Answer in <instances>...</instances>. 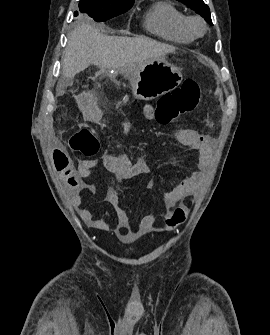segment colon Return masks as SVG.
Wrapping results in <instances>:
<instances>
[{"label":"colon","mask_w":270,"mask_h":335,"mask_svg":"<svg viewBox=\"0 0 270 335\" xmlns=\"http://www.w3.org/2000/svg\"><path fill=\"white\" fill-rule=\"evenodd\" d=\"M200 97L199 86L187 80L175 89L164 93L156 103L148 102L143 106L144 115L155 120L158 124L166 126L180 116L192 111ZM70 149L86 158L95 157L100 150V142L96 135L88 128L74 131L69 140ZM186 217L183 207L178 206L168 224L172 227L184 222Z\"/></svg>","instance_id":"obj_1"}]
</instances>
